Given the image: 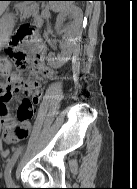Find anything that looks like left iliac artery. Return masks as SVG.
<instances>
[{
  "mask_svg": "<svg viewBox=\"0 0 137 189\" xmlns=\"http://www.w3.org/2000/svg\"><path fill=\"white\" fill-rule=\"evenodd\" d=\"M22 150H23V147H20L19 149H17L15 151V153L13 154V156L11 157V159L7 163V166H6L5 172H4V177H5L6 184H7L8 181L11 180V171H12V168H13V166H14L17 158H18V156L21 154ZM7 185L12 186L13 183L10 182Z\"/></svg>",
  "mask_w": 137,
  "mask_h": 189,
  "instance_id": "44dca946",
  "label": "left iliac artery"
}]
</instances>
